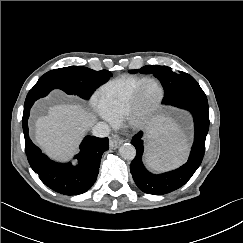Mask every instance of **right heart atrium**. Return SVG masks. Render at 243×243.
Segmentation results:
<instances>
[{"mask_svg": "<svg viewBox=\"0 0 243 243\" xmlns=\"http://www.w3.org/2000/svg\"><path fill=\"white\" fill-rule=\"evenodd\" d=\"M98 115L102 117L103 119L110 120L105 114H103L101 111H97Z\"/></svg>", "mask_w": 243, "mask_h": 243, "instance_id": "right-heart-atrium-1", "label": "right heart atrium"}]
</instances>
